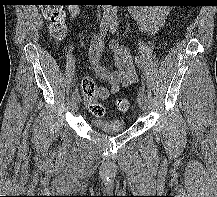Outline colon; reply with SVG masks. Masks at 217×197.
I'll return each mask as SVG.
<instances>
[{
  "instance_id": "obj_1",
  "label": "colon",
  "mask_w": 217,
  "mask_h": 197,
  "mask_svg": "<svg viewBox=\"0 0 217 197\" xmlns=\"http://www.w3.org/2000/svg\"><path fill=\"white\" fill-rule=\"evenodd\" d=\"M42 13L50 21L49 33L55 41H61L66 36V12L60 0H41ZM81 90L88 110L95 117H102L105 109L99 102L107 95L104 86L97 85L92 79L84 78L81 82ZM116 107L121 112L130 109V102L127 99H118Z\"/></svg>"
}]
</instances>
